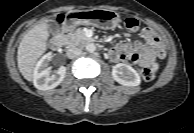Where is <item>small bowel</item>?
Returning a JSON list of instances; mask_svg holds the SVG:
<instances>
[{
    "label": "small bowel",
    "mask_w": 194,
    "mask_h": 133,
    "mask_svg": "<svg viewBox=\"0 0 194 133\" xmlns=\"http://www.w3.org/2000/svg\"><path fill=\"white\" fill-rule=\"evenodd\" d=\"M140 35L143 41L118 43L110 52V58L115 62L123 61L149 68L157 58L164 56L161 40L154 30L144 28Z\"/></svg>",
    "instance_id": "small-bowel-1"
}]
</instances>
